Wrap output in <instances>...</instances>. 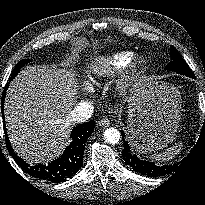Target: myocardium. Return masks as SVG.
Listing matches in <instances>:
<instances>
[{"mask_svg":"<svg viewBox=\"0 0 205 205\" xmlns=\"http://www.w3.org/2000/svg\"><path fill=\"white\" fill-rule=\"evenodd\" d=\"M143 68V59L135 57L127 65L124 73L114 83L115 91L120 95H127L132 89L138 75Z\"/></svg>","mask_w":205,"mask_h":205,"instance_id":"myocardium-1","label":"myocardium"}]
</instances>
